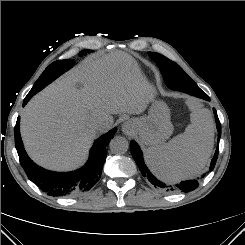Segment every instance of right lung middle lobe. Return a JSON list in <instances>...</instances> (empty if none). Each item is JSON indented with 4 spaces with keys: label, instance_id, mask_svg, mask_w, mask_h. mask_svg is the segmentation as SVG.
I'll return each mask as SVG.
<instances>
[{
    "label": "right lung middle lobe",
    "instance_id": "obj_1",
    "mask_svg": "<svg viewBox=\"0 0 245 245\" xmlns=\"http://www.w3.org/2000/svg\"><path fill=\"white\" fill-rule=\"evenodd\" d=\"M88 52L87 50L81 51L79 54L82 55ZM74 60H58L50 64L39 79L35 82L33 88L28 94H36L40 90H42L46 85L51 83L61 74L69 70L74 65Z\"/></svg>",
    "mask_w": 245,
    "mask_h": 245
}]
</instances>
